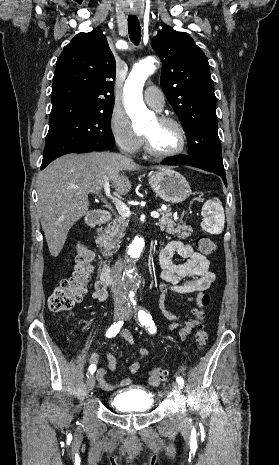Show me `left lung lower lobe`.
Returning a JSON list of instances; mask_svg holds the SVG:
<instances>
[{
    "label": "left lung lower lobe",
    "mask_w": 279,
    "mask_h": 465,
    "mask_svg": "<svg viewBox=\"0 0 279 465\" xmlns=\"http://www.w3.org/2000/svg\"><path fill=\"white\" fill-rule=\"evenodd\" d=\"M163 165H189L193 167H197L209 172H213L217 175H219L222 179L225 185L227 186V180H226V174L223 171H219L212 167L211 165L188 156H178V157H173V158H166L165 160L162 161Z\"/></svg>",
    "instance_id": "1"
}]
</instances>
